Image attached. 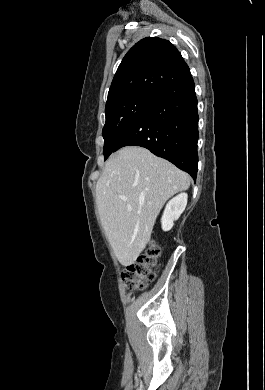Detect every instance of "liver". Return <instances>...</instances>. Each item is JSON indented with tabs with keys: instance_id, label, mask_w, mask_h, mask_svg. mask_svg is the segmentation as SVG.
I'll use <instances>...</instances> for the list:
<instances>
[{
	"instance_id": "6515ba94",
	"label": "liver",
	"mask_w": 265,
	"mask_h": 390,
	"mask_svg": "<svg viewBox=\"0 0 265 390\" xmlns=\"http://www.w3.org/2000/svg\"><path fill=\"white\" fill-rule=\"evenodd\" d=\"M190 183L188 174L139 146L124 147L109 158L96 184V202L123 266L133 264L145 249L165 202Z\"/></svg>"
}]
</instances>
